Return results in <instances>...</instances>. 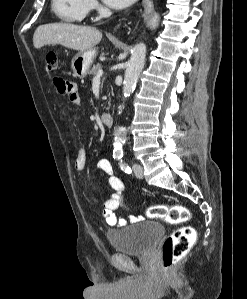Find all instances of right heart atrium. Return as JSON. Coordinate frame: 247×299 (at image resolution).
Segmentation results:
<instances>
[{
  "instance_id": "1",
  "label": "right heart atrium",
  "mask_w": 247,
  "mask_h": 299,
  "mask_svg": "<svg viewBox=\"0 0 247 299\" xmlns=\"http://www.w3.org/2000/svg\"><path fill=\"white\" fill-rule=\"evenodd\" d=\"M90 1V8L93 9L97 6L95 0H89Z\"/></svg>"
}]
</instances>
